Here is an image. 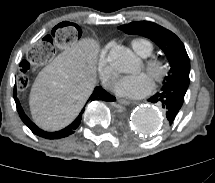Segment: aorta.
Listing matches in <instances>:
<instances>
[{"mask_svg": "<svg viewBox=\"0 0 215 183\" xmlns=\"http://www.w3.org/2000/svg\"><path fill=\"white\" fill-rule=\"evenodd\" d=\"M133 54L125 47L118 46L109 54L111 66L118 72H129L134 64ZM131 126L142 134H153L161 129L163 125V115L155 107L142 106L136 109L131 115Z\"/></svg>", "mask_w": 215, "mask_h": 183, "instance_id": "762f6f07", "label": "aorta"}]
</instances>
